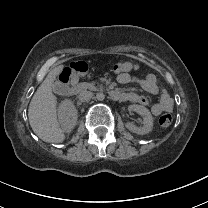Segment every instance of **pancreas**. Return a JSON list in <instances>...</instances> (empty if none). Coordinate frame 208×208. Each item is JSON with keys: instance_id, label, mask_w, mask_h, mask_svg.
<instances>
[{"instance_id": "pancreas-1", "label": "pancreas", "mask_w": 208, "mask_h": 208, "mask_svg": "<svg viewBox=\"0 0 208 208\" xmlns=\"http://www.w3.org/2000/svg\"><path fill=\"white\" fill-rule=\"evenodd\" d=\"M77 88L81 90L89 89L91 91H104V87L102 85H96L93 83L82 82L77 85Z\"/></svg>"}]
</instances>
